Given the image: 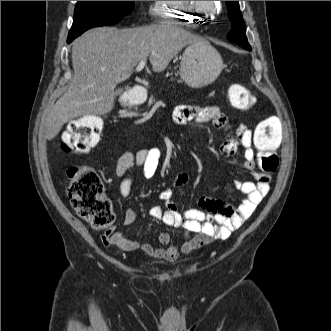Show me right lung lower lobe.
I'll list each match as a JSON object with an SVG mask.
<instances>
[{
	"instance_id": "98d812e1",
	"label": "right lung lower lobe",
	"mask_w": 331,
	"mask_h": 331,
	"mask_svg": "<svg viewBox=\"0 0 331 331\" xmlns=\"http://www.w3.org/2000/svg\"><path fill=\"white\" fill-rule=\"evenodd\" d=\"M67 42H68V43H70V42H71V40H69V39H68V40H67Z\"/></svg>"
}]
</instances>
